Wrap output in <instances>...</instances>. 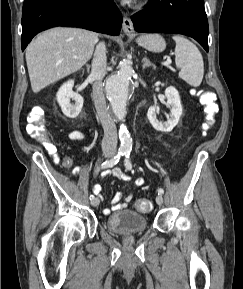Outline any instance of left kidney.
<instances>
[{"instance_id": "left-kidney-1", "label": "left kidney", "mask_w": 243, "mask_h": 289, "mask_svg": "<svg viewBox=\"0 0 243 289\" xmlns=\"http://www.w3.org/2000/svg\"><path fill=\"white\" fill-rule=\"evenodd\" d=\"M165 96L167 98V106L170 108V118L161 122L157 119V111L159 107L151 106L148 109L147 117L153 128L161 132H170L179 122L182 115V105L178 91L175 87H168L165 90Z\"/></svg>"}]
</instances>
